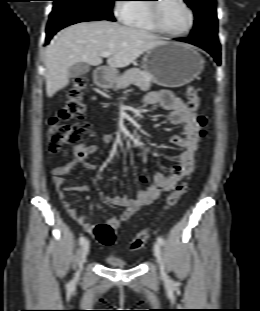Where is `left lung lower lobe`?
Instances as JSON below:
<instances>
[{
    "label": "left lung lower lobe",
    "mask_w": 260,
    "mask_h": 311,
    "mask_svg": "<svg viewBox=\"0 0 260 311\" xmlns=\"http://www.w3.org/2000/svg\"><path fill=\"white\" fill-rule=\"evenodd\" d=\"M179 41L187 42L196 46H199L206 50L208 53H210L218 65L221 64L220 60V44L219 43H213L209 41H203V40H196V39H177Z\"/></svg>",
    "instance_id": "left-lung-lower-lobe-1"
}]
</instances>
